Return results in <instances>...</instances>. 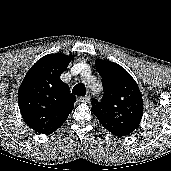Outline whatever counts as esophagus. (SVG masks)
Returning a JSON list of instances; mask_svg holds the SVG:
<instances>
[{"instance_id": "obj_1", "label": "esophagus", "mask_w": 171, "mask_h": 171, "mask_svg": "<svg viewBox=\"0 0 171 171\" xmlns=\"http://www.w3.org/2000/svg\"><path fill=\"white\" fill-rule=\"evenodd\" d=\"M90 96L89 95H87V96H84V97H80L79 98V101L80 102H83V103H86V102H89L90 101Z\"/></svg>"}]
</instances>
